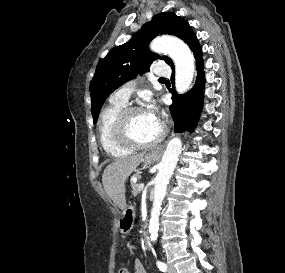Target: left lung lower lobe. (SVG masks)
Returning a JSON list of instances; mask_svg holds the SVG:
<instances>
[{"label":"left lung lower lobe","mask_w":285,"mask_h":273,"mask_svg":"<svg viewBox=\"0 0 285 273\" xmlns=\"http://www.w3.org/2000/svg\"><path fill=\"white\" fill-rule=\"evenodd\" d=\"M196 59L197 78L193 89L183 95H178L174 90L171 91L173 103L169 107L174 120V131L177 133L185 130L192 132L195 128L200 111L202 109L203 90H204V72L202 50L199 45L196 35L193 33L186 41ZM174 71V65H171ZM171 81H174V74L171 76Z\"/></svg>","instance_id":"0a47b994"}]
</instances>
